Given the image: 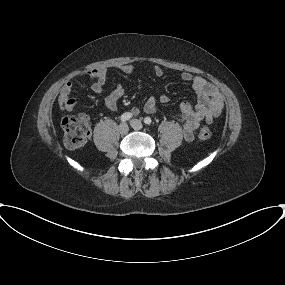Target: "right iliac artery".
Listing matches in <instances>:
<instances>
[{"mask_svg":"<svg viewBox=\"0 0 285 285\" xmlns=\"http://www.w3.org/2000/svg\"><path fill=\"white\" fill-rule=\"evenodd\" d=\"M131 117H132V114L129 112H126L123 115H121L120 119L122 122H125V121L129 120Z\"/></svg>","mask_w":285,"mask_h":285,"instance_id":"obj_1","label":"right iliac artery"}]
</instances>
